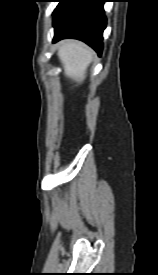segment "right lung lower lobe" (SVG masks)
I'll list each match as a JSON object with an SVG mask.
<instances>
[{
    "label": "right lung lower lobe",
    "instance_id": "obj_1",
    "mask_svg": "<svg viewBox=\"0 0 158 275\" xmlns=\"http://www.w3.org/2000/svg\"><path fill=\"white\" fill-rule=\"evenodd\" d=\"M104 2L106 0H62L53 13V42L64 38L79 39L101 55L106 27Z\"/></svg>",
    "mask_w": 158,
    "mask_h": 275
}]
</instances>
